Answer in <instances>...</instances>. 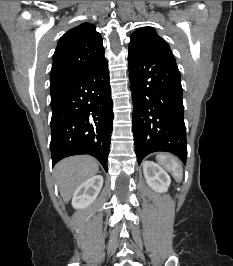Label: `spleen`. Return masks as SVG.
Segmentation results:
<instances>
[{"label":"spleen","mask_w":233,"mask_h":266,"mask_svg":"<svg viewBox=\"0 0 233 266\" xmlns=\"http://www.w3.org/2000/svg\"><path fill=\"white\" fill-rule=\"evenodd\" d=\"M157 161L171 174L177 181L182 180L183 169L180 163L171 155L160 154L156 157Z\"/></svg>","instance_id":"3e777b00"}]
</instances>
